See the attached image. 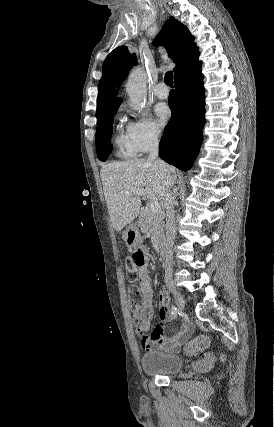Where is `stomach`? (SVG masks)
<instances>
[{"mask_svg": "<svg viewBox=\"0 0 274 427\" xmlns=\"http://www.w3.org/2000/svg\"><path fill=\"white\" fill-rule=\"evenodd\" d=\"M123 239L128 247H137L142 243V237L135 223H129L123 231Z\"/></svg>", "mask_w": 274, "mask_h": 427, "instance_id": "stomach-1", "label": "stomach"}]
</instances>
